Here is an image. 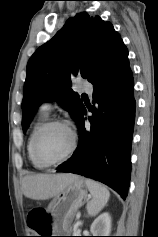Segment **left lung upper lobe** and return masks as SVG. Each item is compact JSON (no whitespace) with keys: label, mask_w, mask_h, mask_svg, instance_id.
<instances>
[{"label":"left lung upper lobe","mask_w":158,"mask_h":237,"mask_svg":"<svg viewBox=\"0 0 158 237\" xmlns=\"http://www.w3.org/2000/svg\"><path fill=\"white\" fill-rule=\"evenodd\" d=\"M128 60V50L110 22L86 12L68 19L61 30L40 46L27 63L22 101L26 131L38 106L56 100L78 122L84 105L71 89L81 75L94 85Z\"/></svg>","instance_id":"1"}]
</instances>
